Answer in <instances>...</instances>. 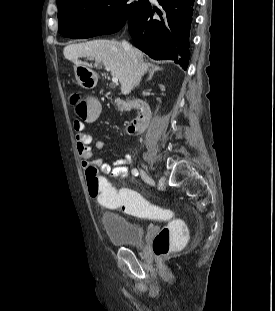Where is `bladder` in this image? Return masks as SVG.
<instances>
[{
  "mask_svg": "<svg viewBox=\"0 0 275 311\" xmlns=\"http://www.w3.org/2000/svg\"><path fill=\"white\" fill-rule=\"evenodd\" d=\"M100 219L102 228L113 245L138 247L142 243V227L125 216L116 212H103Z\"/></svg>",
  "mask_w": 275,
  "mask_h": 311,
  "instance_id": "bladder-1",
  "label": "bladder"
}]
</instances>
